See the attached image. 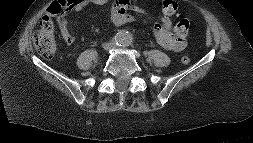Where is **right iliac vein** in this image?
Instances as JSON below:
<instances>
[{"mask_svg": "<svg viewBox=\"0 0 253 143\" xmlns=\"http://www.w3.org/2000/svg\"><path fill=\"white\" fill-rule=\"evenodd\" d=\"M112 47V44L111 43H105V44H103V49L104 50H108V49H110Z\"/></svg>", "mask_w": 253, "mask_h": 143, "instance_id": "63e3f726", "label": "right iliac vein"}]
</instances>
